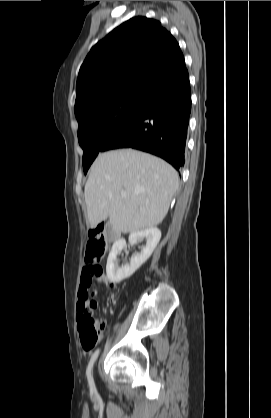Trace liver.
Masks as SVG:
<instances>
[{
	"label": "liver",
	"instance_id": "1",
	"mask_svg": "<svg viewBox=\"0 0 271 418\" xmlns=\"http://www.w3.org/2000/svg\"><path fill=\"white\" fill-rule=\"evenodd\" d=\"M178 185L176 170L158 157L133 149L102 153L84 189L89 225L95 228L109 218L118 233L155 227L165 218Z\"/></svg>",
	"mask_w": 271,
	"mask_h": 418
}]
</instances>
